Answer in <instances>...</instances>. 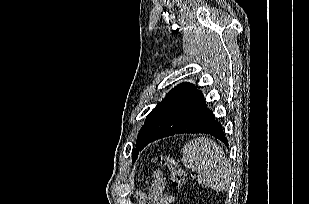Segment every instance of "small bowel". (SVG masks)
<instances>
[{
	"instance_id": "small-bowel-1",
	"label": "small bowel",
	"mask_w": 309,
	"mask_h": 204,
	"mask_svg": "<svg viewBox=\"0 0 309 204\" xmlns=\"http://www.w3.org/2000/svg\"><path fill=\"white\" fill-rule=\"evenodd\" d=\"M167 180L159 170L153 171V179L149 186L148 197L141 195L147 204H171L174 200L172 194L165 192ZM145 204V203H143Z\"/></svg>"
}]
</instances>
